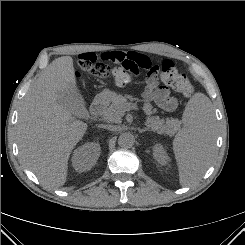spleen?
<instances>
[{
    "label": "spleen",
    "instance_id": "3e777b00",
    "mask_svg": "<svg viewBox=\"0 0 245 245\" xmlns=\"http://www.w3.org/2000/svg\"><path fill=\"white\" fill-rule=\"evenodd\" d=\"M183 128L174 138L173 150L182 186L198 181L211 163L214 144V112L211 100L203 93H195L188 101Z\"/></svg>",
    "mask_w": 245,
    "mask_h": 245
}]
</instances>
